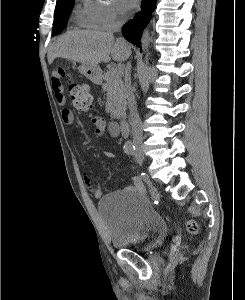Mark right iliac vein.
Here are the masks:
<instances>
[{
  "label": "right iliac vein",
  "mask_w": 245,
  "mask_h": 300,
  "mask_svg": "<svg viewBox=\"0 0 245 300\" xmlns=\"http://www.w3.org/2000/svg\"><path fill=\"white\" fill-rule=\"evenodd\" d=\"M139 156H140L141 160L144 161L145 158H144L143 154L139 153Z\"/></svg>",
  "instance_id": "1"
}]
</instances>
